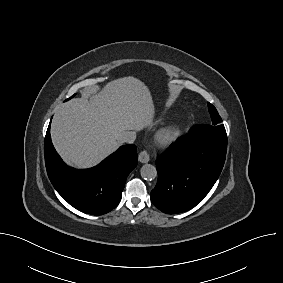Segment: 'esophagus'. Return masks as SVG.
I'll use <instances>...</instances> for the list:
<instances>
[{
    "label": "esophagus",
    "instance_id": "obj_1",
    "mask_svg": "<svg viewBox=\"0 0 283 283\" xmlns=\"http://www.w3.org/2000/svg\"><path fill=\"white\" fill-rule=\"evenodd\" d=\"M138 160L141 162V163H147L149 162L150 160V156L148 154V152L146 150H143L139 153L138 155Z\"/></svg>",
    "mask_w": 283,
    "mask_h": 283
}]
</instances>
